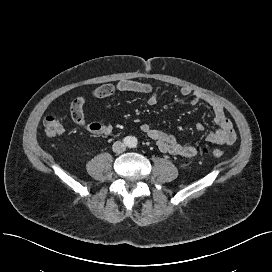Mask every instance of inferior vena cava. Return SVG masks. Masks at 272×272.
<instances>
[{
  "instance_id": "obj_1",
  "label": "inferior vena cava",
  "mask_w": 272,
  "mask_h": 272,
  "mask_svg": "<svg viewBox=\"0 0 272 272\" xmlns=\"http://www.w3.org/2000/svg\"><path fill=\"white\" fill-rule=\"evenodd\" d=\"M112 149L116 153H122L126 150V146L121 141H116L113 143Z\"/></svg>"
}]
</instances>
